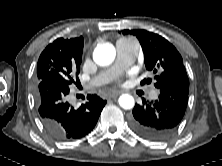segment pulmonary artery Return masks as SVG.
Instances as JSON below:
<instances>
[{
	"instance_id": "obj_1",
	"label": "pulmonary artery",
	"mask_w": 222,
	"mask_h": 166,
	"mask_svg": "<svg viewBox=\"0 0 222 166\" xmlns=\"http://www.w3.org/2000/svg\"><path fill=\"white\" fill-rule=\"evenodd\" d=\"M138 55V44L132 40H120L117 42V60L114 66L100 73L98 76L93 78L90 82V86H100L106 83L109 79L114 77L125 67L131 65ZM158 95L156 89H152L149 92V98L155 99Z\"/></svg>"
}]
</instances>
